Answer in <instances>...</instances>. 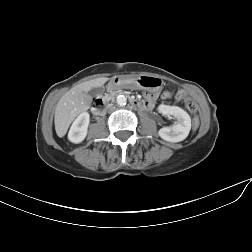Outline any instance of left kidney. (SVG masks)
Segmentation results:
<instances>
[{
    "mask_svg": "<svg viewBox=\"0 0 252 252\" xmlns=\"http://www.w3.org/2000/svg\"><path fill=\"white\" fill-rule=\"evenodd\" d=\"M158 111L163 115L174 116L177 120L172 127H163L159 130V136L168 142L183 141L191 129V118L186 111L177 106L159 105Z\"/></svg>",
    "mask_w": 252,
    "mask_h": 252,
    "instance_id": "1",
    "label": "left kidney"
}]
</instances>
